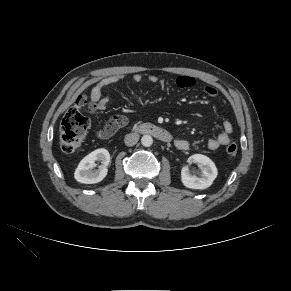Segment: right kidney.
<instances>
[{
  "instance_id": "ca27d5eb",
  "label": "right kidney",
  "mask_w": 291,
  "mask_h": 291,
  "mask_svg": "<svg viewBox=\"0 0 291 291\" xmlns=\"http://www.w3.org/2000/svg\"><path fill=\"white\" fill-rule=\"evenodd\" d=\"M96 161H101L102 165L97 170H93L96 167ZM110 162V154L104 149H97L87 156H85L78 167L75 170V179L84 184L98 183L107 175V166Z\"/></svg>"
}]
</instances>
